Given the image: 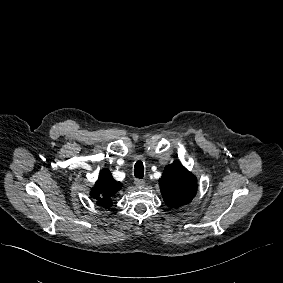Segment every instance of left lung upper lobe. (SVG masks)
<instances>
[{
    "mask_svg": "<svg viewBox=\"0 0 283 283\" xmlns=\"http://www.w3.org/2000/svg\"><path fill=\"white\" fill-rule=\"evenodd\" d=\"M159 185L165 203L172 208L188 204L197 192L195 176L177 162L165 167Z\"/></svg>",
    "mask_w": 283,
    "mask_h": 283,
    "instance_id": "left-lung-upper-lobe-1",
    "label": "left lung upper lobe"
}]
</instances>
